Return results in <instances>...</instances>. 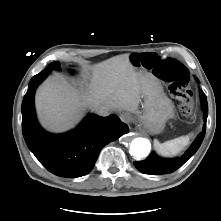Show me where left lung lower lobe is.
Segmentation results:
<instances>
[{"instance_id": "obj_1", "label": "left lung lower lobe", "mask_w": 221, "mask_h": 221, "mask_svg": "<svg viewBox=\"0 0 221 221\" xmlns=\"http://www.w3.org/2000/svg\"><path fill=\"white\" fill-rule=\"evenodd\" d=\"M201 102L202 108L204 110V117L205 120L207 119L208 115V105L206 95L203 91H201ZM205 136V127L201 134L197 137L195 142L189 148V150L182 155L180 158L176 159H162L158 157L155 153H151L145 160L142 161H135V167L144 174H151V175H160V174H168L172 173L181 167L200 147L203 139Z\"/></svg>"}]
</instances>
